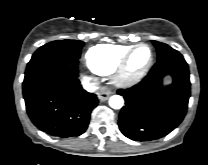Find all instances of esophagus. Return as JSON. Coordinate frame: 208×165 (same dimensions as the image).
<instances>
[{
  "label": "esophagus",
  "mask_w": 208,
  "mask_h": 165,
  "mask_svg": "<svg viewBox=\"0 0 208 165\" xmlns=\"http://www.w3.org/2000/svg\"><path fill=\"white\" fill-rule=\"evenodd\" d=\"M111 94H112L111 90L107 87H101L98 91V97L102 101L107 100Z\"/></svg>",
  "instance_id": "1"
}]
</instances>
